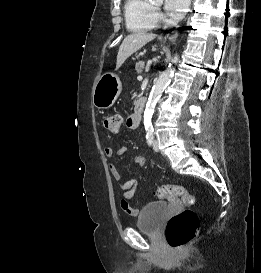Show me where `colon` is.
<instances>
[{
  "instance_id": "1",
  "label": "colon",
  "mask_w": 261,
  "mask_h": 273,
  "mask_svg": "<svg viewBox=\"0 0 261 273\" xmlns=\"http://www.w3.org/2000/svg\"><path fill=\"white\" fill-rule=\"evenodd\" d=\"M121 116L110 115L104 119V126L113 132L121 127ZM158 198L181 197L186 206L191 207L196 203L194 194L183 185H164L155 191ZM200 221L197 214L185 209L177 213L167 223L165 236L168 244L175 250H181L190 243L198 234Z\"/></svg>"
}]
</instances>
